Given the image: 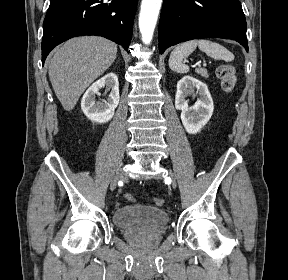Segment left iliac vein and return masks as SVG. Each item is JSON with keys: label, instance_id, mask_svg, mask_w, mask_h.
<instances>
[{"label": "left iliac vein", "instance_id": "left-iliac-vein-1", "mask_svg": "<svg viewBox=\"0 0 288 280\" xmlns=\"http://www.w3.org/2000/svg\"><path fill=\"white\" fill-rule=\"evenodd\" d=\"M170 177H172V173H170ZM172 186L173 188H176V181L174 180V178H172Z\"/></svg>", "mask_w": 288, "mask_h": 280}]
</instances>
